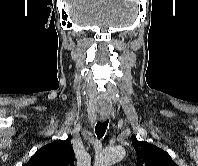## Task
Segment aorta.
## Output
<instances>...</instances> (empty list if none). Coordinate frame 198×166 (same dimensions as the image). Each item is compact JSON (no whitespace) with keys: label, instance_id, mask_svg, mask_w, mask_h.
I'll list each match as a JSON object with an SVG mask.
<instances>
[{"label":"aorta","instance_id":"1","mask_svg":"<svg viewBox=\"0 0 198 166\" xmlns=\"http://www.w3.org/2000/svg\"><path fill=\"white\" fill-rule=\"evenodd\" d=\"M124 156V148L120 146L108 148L96 157L94 166H111L115 162L122 160Z\"/></svg>","mask_w":198,"mask_h":166}]
</instances>
